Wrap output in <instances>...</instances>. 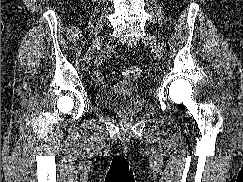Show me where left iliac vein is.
<instances>
[{
  "label": "left iliac vein",
  "mask_w": 243,
  "mask_h": 182,
  "mask_svg": "<svg viewBox=\"0 0 243 182\" xmlns=\"http://www.w3.org/2000/svg\"><path fill=\"white\" fill-rule=\"evenodd\" d=\"M144 42L149 44L152 49L154 50L155 54L157 55V57L159 59L162 58L163 56V48L161 46V44L159 43L158 39L154 36H146L144 38Z\"/></svg>",
  "instance_id": "4c4485c4"
}]
</instances>
